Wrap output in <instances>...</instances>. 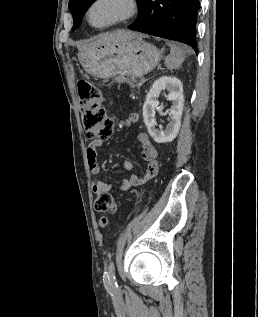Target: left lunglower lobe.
Segmentation results:
<instances>
[{
    "label": "left lung lower lobe",
    "instance_id": "0a47b994",
    "mask_svg": "<svg viewBox=\"0 0 258 317\" xmlns=\"http://www.w3.org/2000/svg\"><path fill=\"white\" fill-rule=\"evenodd\" d=\"M199 7V0H144L139 6L138 19L128 28L188 44L197 54Z\"/></svg>",
    "mask_w": 258,
    "mask_h": 317
}]
</instances>
